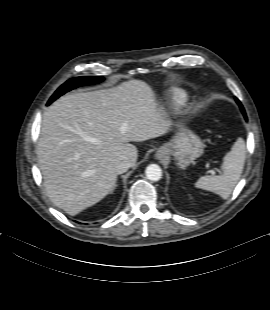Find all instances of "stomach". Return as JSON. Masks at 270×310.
Listing matches in <instances>:
<instances>
[{"label":"stomach","mask_w":270,"mask_h":310,"mask_svg":"<svg viewBox=\"0 0 270 310\" xmlns=\"http://www.w3.org/2000/svg\"><path fill=\"white\" fill-rule=\"evenodd\" d=\"M161 150L166 155L173 156L177 166L185 168L203 154L204 144L191 130L179 125L175 136L163 144L159 151Z\"/></svg>","instance_id":"0dacf381"}]
</instances>
